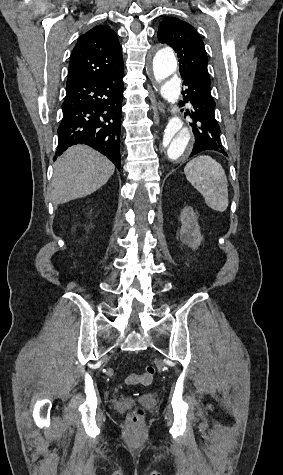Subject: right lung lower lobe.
I'll list each match as a JSON object with an SVG mask.
<instances>
[{
    "label": "right lung lower lobe",
    "mask_w": 283,
    "mask_h": 475,
    "mask_svg": "<svg viewBox=\"0 0 283 475\" xmlns=\"http://www.w3.org/2000/svg\"><path fill=\"white\" fill-rule=\"evenodd\" d=\"M122 78L123 72L67 84L56 156L74 144H87L120 170Z\"/></svg>",
    "instance_id": "right-lung-lower-lobe-1"
}]
</instances>
